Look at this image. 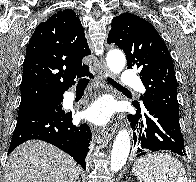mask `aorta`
Listing matches in <instances>:
<instances>
[{"label":"aorta","mask_w":196,"mask_h":182,"mask_svg":"<svg viewBox=\"0 0 196 182\" xmlns=\"http://www.w3.org/2000/svg\"><path fill=\"white\" fill-rule=\"evenodd\" d=\"M107 65L111 72L119 74L125 67L126 59L120 50H112L107 54ZM130 135L127 130H121L113 144L111 153L110 169L119 171L126 163L130 152Z\"/></svg>","instance_id":"1"}]
</instances>
